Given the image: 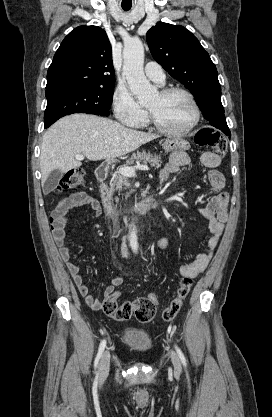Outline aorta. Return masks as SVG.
<instances>
[{
	"mask_svg": "<svg viewBox=\"0 0 272 417\" xmlns=\"http://www.w3.org/2000/svg\"><path fill=\"white\" fill-rule=\"evenodd\" d=\"M123 74L129 88L142 106H147L157 96V88L152 86L143 71L144 46L139 39L128 40L123 49ZM129 245L133 253H138V239L135 228L129 231Z\"/></svg>",
	"mask_w": 272,
	"mask_h": 417,
	"instance_id": "1",
	"label": "aorta"
}]
</instances>
